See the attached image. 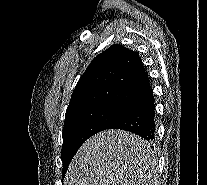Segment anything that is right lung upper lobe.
I'll return each mask as SVG.
<instances>
[{
    "label": "right lung upper lobe",
    "instance_id": "cb5924a9",
    "mask_svg": "<svg viewBox=\"0 0 207 185\" xmlns=\"http://www.w3.org/2000/svg\"><path fill=\"white\" fill-rule=\"evenodd\" d=\"M149 88L138 54L122 45H112L95 57L80 77L65 118L97 106L123 109Z\"/></svg>",
    "mask_w": 207,
    "mask_h": 185
}]
</instances>
